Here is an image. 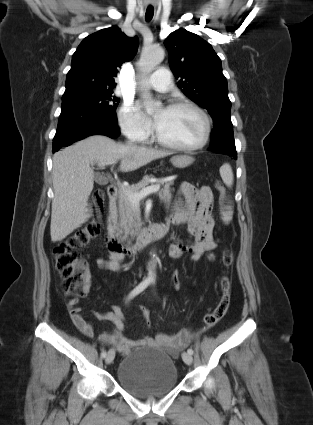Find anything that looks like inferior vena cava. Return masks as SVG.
Wrapping results in <instances>:
<instances>
[{"label": "inferior vena cava", "mask_w": 313, "mask_h": 425, "mask_svg": "<svg viewBox=\"0 0 313 425\" xmlns=\"http://www.w3.org/2000/svg\"><path fill=\"white\" fill-rule=\"evenodd\" d=\"M128 144H129V145H132V141H129V142H128Z\"/></svg>", "instance_id": "inferior-vena-cava-1"}]
</instances>
